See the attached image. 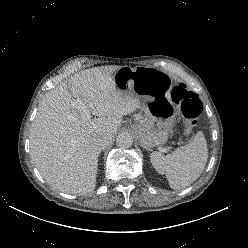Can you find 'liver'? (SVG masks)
<instances>
[{"instance_id": "obj_1", "label": "liver", "mask_w": 248, "mask_h": 248, "mask_svg": "<svg viewBox=\"0 0 248 248\" xmlns=\"http://www.w3.org/2000/svg\"><path fill=\"white\" fill-rule=\"evenodd\" d=\"M119 68L80 71L41 100L31 125L30 155L52 187L69 194L92 192L101 152L93 139L105 134L111 143L123 116L147 111V104L115 85L113 73ZM83 105L97 118L82 117Z\"/></svg>"}]
</instances>
